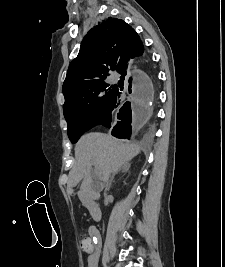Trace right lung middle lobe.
I'll use <instances>...</instances> for the list:
<instances>
[{
  "mask_svg": "<svg viewBox=\"0 0 225 267\" xmlns=\"http://www.w3.org/2000/svg\"><path fill=\"white\" fill-rule=\"evenodd\" d=\"M116 90L117 85L104 79L76 90L65 99L63 111L72 143L96 125L108 109Z\"/></svg>",
  "mask_w": 225,
  "mask_h": 267,
  "instance_id": "obj_1",
  "label": "right lung middle lobe"
}]
</instances>
